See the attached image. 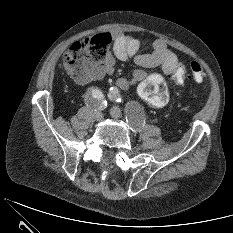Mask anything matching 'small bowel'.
Wrapping results in <instances>:
<instances>
[{
    "mask_svg": "<svg viewBox=\"0 0 233 233\" xmlns=\"http://www.w3.org/2000/svg\"><path fill=\"white\" fill-rule=\"evenodd\" d=\"M112 39L113 54L107 55L103 71L100 75L111 74L114 70L116 59L126 61L134 58L135 63L142 68L160 66L164 74L169 77L180 63L176 53L162 40H156L150 52L140 53L141 40L139 38L123 32H113ZM146 77L147 74L145 71L137 69L129 76L119 78L117 85L121 89L127 90L142 82Z\"/></svg>",
    "mask_w": 233,
    "mask_h": 233,
    "instance_id": "small-bowel-1",
    "label": "small bowel"
}]
</instances>
